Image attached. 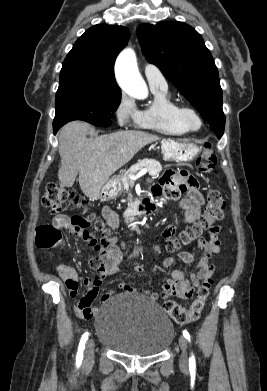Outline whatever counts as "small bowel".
Segmentation results:
<instances>
[{
	"mask_svg": "<svg viewBox=\"0 0 267 391\" xmlns=\"http://www.w3.org/2000/svg\"><path fill=\"white\" fill-rule=\"evenodd\" d=\"M152 193L156 198L164 196L168 199H180L179 206L184 212L183 218L186 223H194L200 217V210L204 203V198L199 191L197 181L186 172L168 169L160 178L159 183L153 187ZM102 216L112 228L118 227L119 217L113 209L105 207L102 210ZM53 223L54 227L59 230L70 231L84 240L90 241L91 239V235L87 230L89 223L80 221L78 216L60 215L54 219ZM176 233L177 229L174 225H168L163 230V236L165 238L174 237ZM59 246L62 247L63 243L60 242ZM198 247L202 251L199 257H195L188 251H180L178 253V258L183 263L192 264L196 262V270L190 279L186 278L183 271L173 270L170 277L163 284L161 291L144 292L150 300L159 301L169 296L187 299L192 295L200 281L211 277L214 270L211 259L221 249L219 227H216V231L211 234L209 239L199 237ZM122 259L123 255L121 250L115 246H111L106 250L98 251V256L90 261L94 274L84 280L87 293L78 300L75 306L76 314L79 317L85 319L93 317L96 311L93 303L98 296L99 287L106 276L118 272ZM174 262V258H166L163 266L168 268ZM136 269L138 271L142 270L140 267ZM57 270L61 278L65 281L70 295L76 297L79 290V275L76 269L65 264H60ZM118 287L125 292L142 291L135 290L127 280H122ZM115 292L116 288L110 287L107 293L101 297V300L108 299Z\"/></svg>",
	"mask_w": 267,
	"mask_h": 391,
	"instance_id": "1",
	"label": "small bowel"
}]
</instances>
